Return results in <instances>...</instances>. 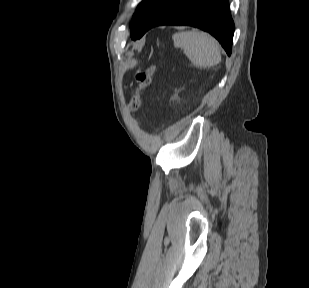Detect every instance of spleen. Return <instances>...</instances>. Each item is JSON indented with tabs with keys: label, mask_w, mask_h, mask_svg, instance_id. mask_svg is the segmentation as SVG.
I'll return each mask as SVG.
<instances>
[{
	"label": "spleen",
	"mask_w": 309,
	"mask_h": 288,
	"mask_svg": "<svg viewBox=\"0 0 309 288\" xmlns=\"http://www.w3.org/2000/svg\"><path fill=\"white\" fill-rule=\"evenodd\" d=\"M174 45L184 50L197 67L210 68L221 61L219 43L209 34L197 30L184 31L173 36Z\"/></svg>",
	"instance_id": "obj_1"
}]
</instances>
